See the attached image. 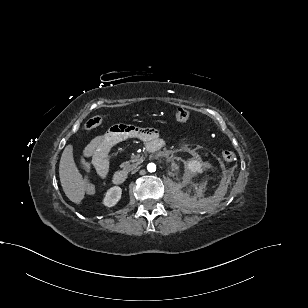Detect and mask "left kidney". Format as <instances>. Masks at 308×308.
<instances>
[{
  "instance_id": "1",
  "label": "left kidney",
  "mask_w": 308,
  "mask_h": 308,
  "mask_svg": "<svg viewBox=\"0 0 308 308\" xmlns=\"http://www.w3.org/2000/svg\"><path fill=\"white\" fill-rule=\"evenodd\" d=\"M186 170H188L191 174H197V173H202L203 169H202V164L197 161V160H190L187 164H186Z\"/></svg>"
}]
</instances>
